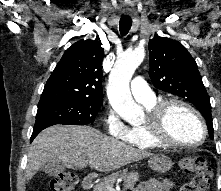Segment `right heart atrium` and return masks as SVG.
<instances>
[{"mask_svg": "<svg viewBox=\"0 0 221 191\" xmlns=\"http://www.w3.org/2000/svg\"><path fill=\"white\" fill-rule=\"evenodd\" d=\"M104 123L108 133L112 137L123 141L128 139L130 128L120 119L112 108L107 109L104 116Z\"/></svg>", "mask_w": 221, "mask_h": 191, "instance_id": "right-heart-atrium-1", "label": "right heart atrium"}]
</instances>
